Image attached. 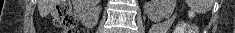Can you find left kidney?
Segmentation results:
<instances>
[{
	"instance_id": "5707ae66",
	"label": "left kidney",
	"mask_w": 235,
	"mask_h": 33,
	"mask_svg": "<svg viewBox=\"0 0 235 33\" xmlns=\"http://www.w3.org/2000/svg\"><path fill=\"white\" fill-rule=\"evenodd\" d=\"M176 0H149L145 6V13L153 22H159L172 15Z\"/></svg>"
}]
</instances>
